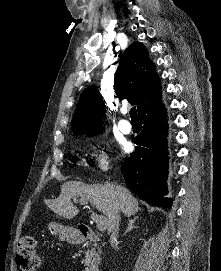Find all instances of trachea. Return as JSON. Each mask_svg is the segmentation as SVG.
I'll return each instance as SVG.
<instances>
[{
	"instance_id": "trachea-1",
	"label": "trachea",
	"mask_w": 221,
	"mask_h": 271,
	"mask_svg": "<svg viewBox=\"0 0 221 271\" xmlns=\"http://www.w3.org/2000/svg\"><path fill=\"white\" fill-rule=\"evenodd\" d=\"M129 113H130L131 121H139V118H138L135 106H133V108H131V110L129 111Z\"/></svg>"
}]
</instances>
